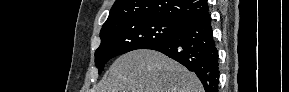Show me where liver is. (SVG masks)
I'll list each match as a JSON object with an SVG mask.
<instances>
[{
  "mask_svg": "<svg viewBox=\"0 0 289 92\" xmlns=\"http://www.w3.org/2000/svg\"><path fill=\"white\" fill-rule=\"evenodd\" d=\"M100 92H204L195 75L160 52L139 49L117 58Z\"/></svg>",
  "mask_w": 289,
  "mask_h": 92,
  "instance_id": "6515ba94",
  "label": "liver"
}]
</instances>
